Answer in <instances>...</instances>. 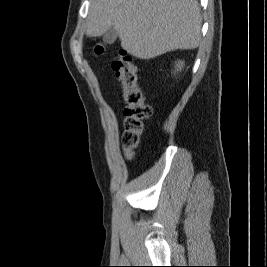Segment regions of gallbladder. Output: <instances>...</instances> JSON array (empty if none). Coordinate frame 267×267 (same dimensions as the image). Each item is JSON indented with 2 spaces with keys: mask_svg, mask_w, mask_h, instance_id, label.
Wrapping results in <instances>:
<instances>
[{
  "mask_svg": "<svg viewBox=\"0 0 267 267\" xmlns=\"http://www.w3.org/2000/svg\"><path fill=\"white\" fill-rule=\"evenodd\" d=\"M118 33L114 27H110L103 35V41L106 44H113L117 39Z\"/></svg>",
  "mask_w": 267,
  "mask_h": 267,
  "instance_id": "gallbladder-1",
  "label": "gallbladder"
}]
</instances>
